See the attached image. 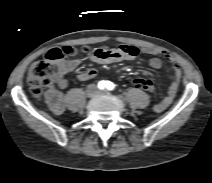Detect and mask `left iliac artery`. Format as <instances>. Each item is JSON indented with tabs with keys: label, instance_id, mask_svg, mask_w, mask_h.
Masks as SVG:
<instances>
[{
	"label": "left iliac artery",
	"instance_id": "obj_1",
	"mask_svg": "<svg viewBox=\"0 0 212 183\" xmlns=\"http://www.w3.org/2000/svg\"><path fill=\"white\" fill-rule=\"evenodd\" d=\"M105 82H106V88L108 90H113L115 88V85L112 82L110 81H105Z\"/></svg>",
	"mask_w": 212,
	"mask_h": 183
}]
</instances>
